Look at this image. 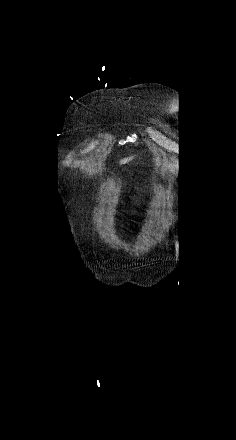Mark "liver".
Here are the masks:
<instances>
[{
  "mask_svg": "<svg viewBox=\"0 0 236 440\" xmlns=\"http://www.w3.org/2000/svg\"><path fill=\"white\" fill-rule=\"evenodd\" d=\"M132 159H133V157L125 158V159H122V160L120 161V163H121V164H126V163H128L129 161H131Z\"/></svg>",
  "mask_w": 236,
  "mask_h": 440,
  "instance_id": "obj_1",
  "label": "liver"
}]
</instances>
